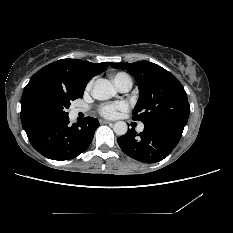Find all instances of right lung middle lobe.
I'll return each instance as SVG.
<instances>
[{
  "mask_svg": "<svg viewBox=\"0 0 233 233\" xmlns=\"http://www.w3.org/2000/svg\"><path fill=\"white\" fill-rule=\"evenodd\" d=\"M81 97H83V93L49 95L43 99L42 108L51 119L55 121L62 120L68 117L66 109L69 108L70 102Z\"/></svg>",
  "mask_w": 233,
  "mask_h": 233,
  "instance_id": "1",
  "label": "right lung middle lobe"
}]
</instances>
